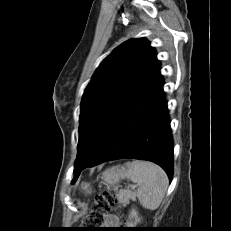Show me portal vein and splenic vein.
<instances>
[{
  "instance_id": "obj_1",
  "label": "portal vein and splenic vein",
  "mask_w": 231,
  "mask_h": 231,
  "mask_svg": "<svg viewBox=\"0 0 231 231\" xmlns=\"http://www.w3.org/2000/svg\"><path fill=\"white\" fill-rule=\"evenodd\" d=\"M130 187H131L132 189H134V188L136 187V185H130Z\"/></svg>"
}]
</instances>
